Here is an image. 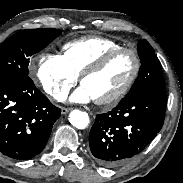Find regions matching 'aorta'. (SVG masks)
I'll use <instances>...</instances> for the list:
<instances>
[{
  "instance_id": "obj_1",
  "label": "aorta",
  "mask_w": 183,
  "mask_h": 183,
  "mask_svg": "<svg viewBox=\"0 0 183 183\" xmlns=\"http://www.w3.org/2000/svg\"><path fill=\"white\" fill-rule=\"evenodd\" d=\"M69 121L77 129H85L90 122L88 114L80 110L71 111Z\"/></svg>"
}]
</instances>
